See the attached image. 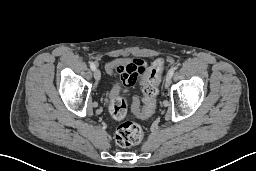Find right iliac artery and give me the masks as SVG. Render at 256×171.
Masks as SVG:
<instances>
[{
  "instance_id": "1",
  "label": "right iliac artery",
  "mask_w": 256,
  "mask_h": 171,
  "mask_svg": "<svg viewBox=\"0 0 256 171\" xmlns=\"http://www.w3.org/2000/svg\"><path fill=\"white\" fill-rule=\"evenodd\" d=\"M90 68L94 71L96 69V65L93 62H90Z\"/></svg>"
}]
</instances>
